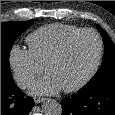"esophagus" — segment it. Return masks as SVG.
<instances>
[{
    "label": "esophagus",
    "mask_w": 115,
    "mask_h": 115,
    "mask_svg": "<svg viewBox=\"0 0 115 115\" xmlns=\"http://www.w3.org/2000/svg\"><path fill=\"white\" fill-rule=\"evenodd\" d=\"M46 100V98H43V97H35L34 98V101H35V103H41V102H43V101H45Z\"/></svg>",
    "instance_id": "esophagus-1"
}]
</instances>
